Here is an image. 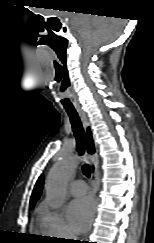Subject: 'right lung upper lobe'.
<instances>
[{
  "mask_svg": "<svg viewBox=\"0 0 154 243\" xmlns=\"http://www.w3.org/2000/svg\"><path fill=\"white\" fill-rule=\"evenodd\" d=\"M43 184H44V178L42 176H40L38 178L36 185L34 187V190L32 192V196L30 199V206H34L35 202L39 199L42 188H43Z\"/></svg>",
  "mask_w": 154,
  "mask_h": 243,
  "instance_id": "cb5924a9",
  "label": "right lung upper lobe"
}]
</instances>
